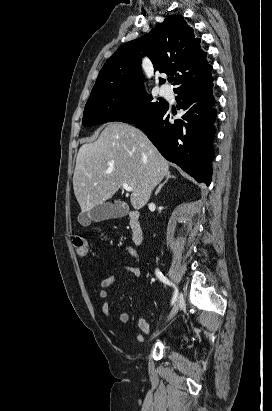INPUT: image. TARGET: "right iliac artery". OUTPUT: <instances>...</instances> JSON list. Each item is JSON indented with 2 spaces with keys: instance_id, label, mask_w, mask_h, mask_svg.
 <instances>
[{
  "instance_id": "obj_1",
  "label": "right iliac artery",
  "mask_w": 272,
  "mask_h": 411,
  "mask_svg": "<svg viewBox=\"0 0 272 411\" xmlns=\"http://www.w3.org/2000/svg\"><path fill=\"white\" fill-rule=\"evenodd\" d=\"M156 276L158 277V279L161 281V282H163V283H165V284H168V285H173V287L175 288V291H174V294H173V297H172V302H171V304L173 305L175 302H176V300H177V296H178V289L175 287V285L174 284H172L163 274H162V272L159 270V269H156Z\"/></svg>"
}]
</instances>
